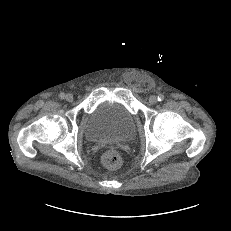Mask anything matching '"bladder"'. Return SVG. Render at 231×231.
Segmentation results:
<instances>
[{"label":"bladder","mask_w":231,"mask_h":231,"mask_svg":"<svg viewBox=\"0 0 231 231\" xmlns=\"http://www.w3.org/2000/svg\"><path fill=\"white\" fill-rule=\"evenodd\" d=\"M84 134L92 143H126L136 136V123L123 106L104 102L89 114Z\"/></svg>","instance_id":"bladder-1"}]
</instances>
